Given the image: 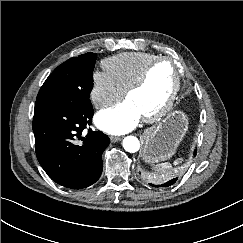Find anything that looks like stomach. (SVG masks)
<instances>
[{
    "label": "stomach",
    "mask_w": 243,
    "mask_h": 243,
    "mask_svg": "<svg viewBox=\"0 0 243 243\" xmlns=\"http://www.w3.org/2000/svg\"><path fill=\"white\" fill-rule=\"evenodd\" d=\"M187 127V116L181 111H174L156 126L146 130L143 136V160L153 164L172 157L183 139Z\"/></svg>",
    "instance_id": "0dacf381"
}]
</instances>
